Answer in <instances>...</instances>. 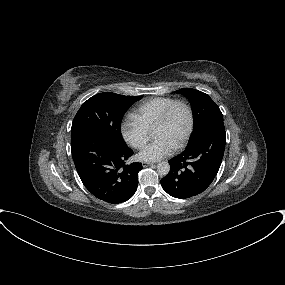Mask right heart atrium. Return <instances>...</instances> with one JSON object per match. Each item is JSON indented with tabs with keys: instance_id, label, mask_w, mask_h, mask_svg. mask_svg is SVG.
Here are the masks:
<instances>
[{
	"instance_id": "right-heart-atrium-1",
	"label": "right heart atrium",
	"mask_w": 285,
	"mask_h": 285,
	"mask_svg": "<svg viewBox=\"0 0 285 285\" xmlns=\"http://www.w3.org/2000/svg\"><path fill=\"white\" fill-rule=\"evenodd\" d=\"M120 131L124 140L137 149L143 147L150 137V130L134 114L124 117Z\"/></svg>"
}]
</instances>
